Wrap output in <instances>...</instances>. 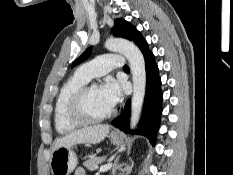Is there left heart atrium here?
Wrapping results in <instances>:
<instances>
[{
  "label": "left heart atrium",
  "instance_id": "obj_1",
  "mask_svg": "<svg viewBox=\"0 0 233 175\" xmlns=\"http://www.w3.org/2000/svg\"><path fill=\"white\" fill-rule=\"evenodd\" d=\"M100 92L106 103L111 107H115L122 99V85L113 78H107L100 88Z\"/></svg>",
  "mask_w": 233,
  "mask_h": 175
}]
</instances>
